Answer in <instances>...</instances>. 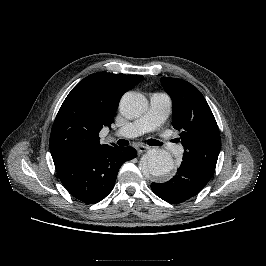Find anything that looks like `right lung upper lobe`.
<instances>
[{"instance_id": "cb5924a9", "label": "right lung upper lobe", "mask_w": 266, "mask_h": 266, "mask_svg": "<svg viewBox=\"0 0 266 266\" xmlns=\"http://www.w3.org/2000/svg\"><path fill=\"white\" fill-rule=\"evenodd\" d=\"M142 79V75L99 72L80 81L55 118L50 135L52 158L109 146L100 144L99 132L110 127L122 94Z\"/></svg>"}]
</instances>
